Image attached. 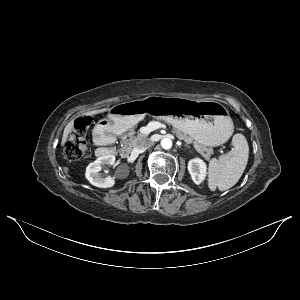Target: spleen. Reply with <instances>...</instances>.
Returning a JSON list of instances; mask_svg holds the SVG:
<instances>
[{
  "label": "spleen",
  "mask_w": 300,
  "mask_h": 300,
  "mask_svg": "<svg viewBox=\"0 0 300 300\" xmlns=\"http://www.w3.org/2000/svg\"><path fill=\"white\" fill-rule=\"evenodd\" d=\"M232 150L226 156L214 158L209 162L208 187L225 191L233 187L241 178L248 161L249 146L243 134L232 138Z\"/></svg>",
  "instance_id": "spleen-1"
}]
</instances>
